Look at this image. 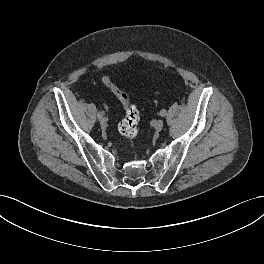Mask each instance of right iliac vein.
Wrapping results in <instances>:
<instances>
[{
    "mask_svg": "<svg viewBox=\"0 0 264 264\" xmlns=\"http://www.w3.org/2000/svg\"><path fill=\"white\" fill-rule=\"evenodd\" d=\"M100 125H101L102 128H106L107 127V121H106L105 118L102 117L100 119Z\"/></svg>",
    "mask_w": 264,
    "mask_h": 264,
    "instance_id": "obj_1",
    "label": "right iliac vein"
}]
</instances>
